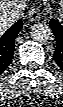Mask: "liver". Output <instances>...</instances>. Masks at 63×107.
Returning <instances> with one entry per match:
<instances>
[{"instance_id": "liver-1", "label": "liver", "mask_w": 63, "mask_h": 107, "mask_svg": "<svg viewBox=\"0 0 63 107\" xmlns=\"http://www.w3.org/2000/svg\"><path fill=\"white\" fill-rule=\"evenodd\" d=\"M19 7L25 9L26 0H0V33L6 31L13 23L8 19V12Z\"/></svg>"}]
</instances>
